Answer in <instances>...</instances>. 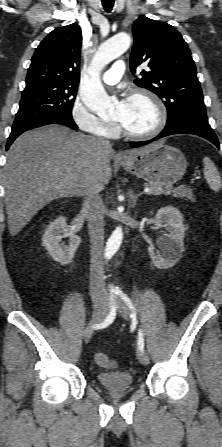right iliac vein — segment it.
Segmentation results:
<instances>
[{
  "label": "right iliac vein",
  "mask_w": 222,
  "mask_h": 447,
  "mask_svg": "<svg viewBox=\"0 0 222 447\" xmlns=\"http://www.w3.org/2000/svg\"><path fill=\"white\" fill-rule=\"evenodd\" d=\"M107 312V308L105 306H97L95 308V311L93 313V316L91 318V321L89 323V325L85 328L84 330V341L86 343L89 342L92 333H93V326L99 322H101L104 318V316L106 315Z\"/></svg>",
  "instance_id": "63e3f726"
}]
</instances>
